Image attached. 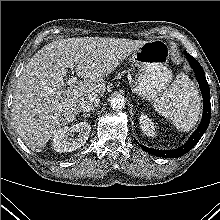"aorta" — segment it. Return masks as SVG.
<instances>
[{"label": "aorta", "mask_w": 220, "mask_h": 220, "mask_svg": "<svg viewBox=\"0 0 220 220\" xmlns=\"http://www.w3.org/2000/svg\"><path fill=\"white\" fill-rule=\"evenodd\" d=\"M110 106L113 110H121L125 107V99L122 96L111 98Z\"/></svg>", "instance_id": "1"}]
</instances>
